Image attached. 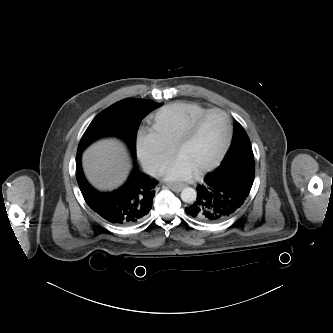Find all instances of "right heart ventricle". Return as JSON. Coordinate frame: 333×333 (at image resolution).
Wrapping results in <instances>:
<instances>
[{
    "label": "right heart ventricle",
    "mask_w": 333,
    "mask_h": 333,
    "mask_svg": "<svg viewBox=\"0 0 333 333\" xmlns=\"http://www.w3.org/2000/svg\"><path fill=\"white\" fill-rule=\"evenodd\" d=\"M207 110L195 102L169 104L153 115L152 129L172 147L189 123Z\"/></svg>",
    "instance_id": "right-heart-ventricle-1"
}]
</instances>
